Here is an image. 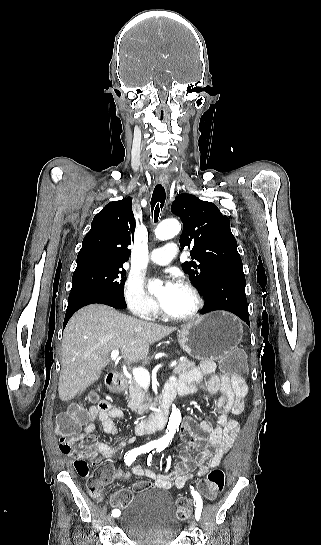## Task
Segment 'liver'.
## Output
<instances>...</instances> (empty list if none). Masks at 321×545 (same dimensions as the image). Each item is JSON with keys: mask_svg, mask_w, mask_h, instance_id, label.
Wrapping results in <instances>:
<instances>
[{"mask_svg": "<svg viewBox=\"0 0 321 545\" xmlns=\"http://www.w3.org/2000/svg\"><path fill=\"white\" fill-rule=\"evenodd\" d=\"M176 329L122 315L107 305L83 307L63 333L58 383L61 401H71L98 381L102 369L109 365L111 351L118 349L129 363H137L146 359L149 345Z\"/></svg>", "mask_w": 321, "mask_h": 545, "instance_id": "obj_1", "label": "liver"}]
</instances>
